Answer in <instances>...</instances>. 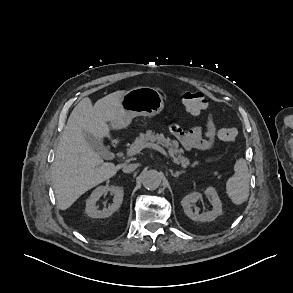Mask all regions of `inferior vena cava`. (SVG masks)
Wrapping results in <instances>:
<instances>
[{"instance_id": "obj_1", "label": "inferior vena cava", "mask_w": 293, "mask_h": 293, "mask_svg": "<svg viewBox=\"0 0 293 293\" xmlns=\"http://www.w3.org/2000/svg\"><path fill=\"white\" fill-rule=\"evenodd\" d=\"M138 167V164H127V165H124L123 166V169H122V171L124 172V173H131V172H133L136 168Z\"/></svg>"}]
</instances>
